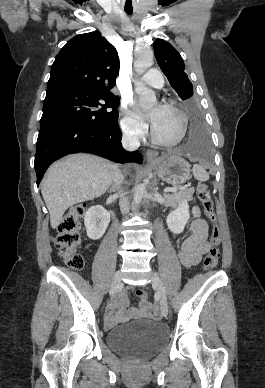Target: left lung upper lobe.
I'll return each mask as SVG.
<instances>
[{
  "instance_id": "5c2ea615",
  "label": "left lung upper lobe",
  "mask_w": 265,
  "mask_h": 388,
  "mask_svg": "<svg viewBox=\"0 0 265 388\" xmlns=\"http://www.w3.org/2000/svg\"><path fill=\"white\" fill-rule=\"evenodd\" d=\"M153 48L157 63L173 89L181 99H189L193 95V87L184 72V62L180 54L170 43L162 39H156ZM187 106L189 109L197 108L194 102H188Z\"/></svg>"
}]
</instances>
